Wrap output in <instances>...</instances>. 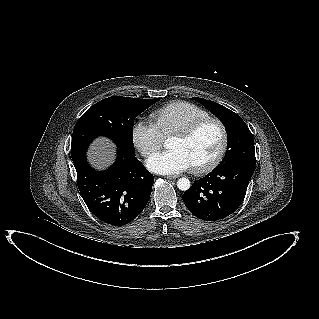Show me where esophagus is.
I'll use <instances>...</instances> for the list:
<instances>
[{"label": "esophagus", "mask_w": 319, "mask_h": 319, "mask_svg": "<svg viewBox=\"0 0 319 319\" xmlns=\"http://www.w3.org/2000/svg\"><path fill=\"white\" fill-rule=\"evenodd\" d=\"M164 177L167 178V179H176V178H178L177 175H165Z\"/></svg>", "instance_id": "34e87169"}]
</instances>
